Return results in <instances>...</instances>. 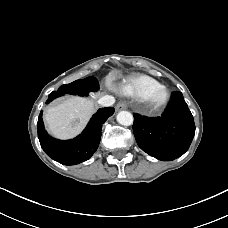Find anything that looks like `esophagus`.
Wrapping results in <instances>:
<instances>
[{"label": "esophagus", "instance_id": "esophagus-1", "mask_svg": "<svg viewBox=\"0 0 228 228\" xmlns=\"http://www.w3.org/2000/svg\"><path fill=\"white\" fill-rule=\"evenodd\" d=\"M126 107H127L126 103H124V102H119V103L116 105V110H117V111H121V110H123V109H126Z\"/></svg>", "mask_w": 228, "mask_h": 228}]
</instances>
